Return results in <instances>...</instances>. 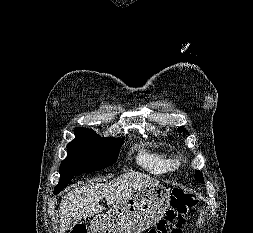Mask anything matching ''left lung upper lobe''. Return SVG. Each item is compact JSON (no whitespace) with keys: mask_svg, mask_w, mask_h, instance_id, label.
Returning <instances> with one entry per match:
<instances>
[{"mask_svg":"<svg viewBox=\"0 0 253 233\" xmlns=\"http://www.w3.org/2000/svg\"><path fill=\"white\" fill-rule=\"evenodd\" d=\"M177 130H178L179 132L185 131V129H184L183 127H179ZM195 178H196V180H198V181L204 183L203 176H202L201 172L195 171Z\"/></svg>","mask_w":253,"mask_h":233,"instance_id":"5c2ea615","label":"left lung upper lobe"}]
</instances>
